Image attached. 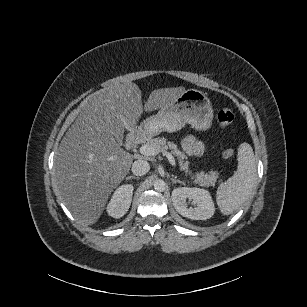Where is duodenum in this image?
Here are the masks:
<instances>
[{
	"instance_id": "duodenum-1",
	"label": "duodenum",
	"mask_w": 307,
	"mask_h": 307,
	"mask_svg": "<svg viewBox=\"0 0 307 307\" xmlns=\"http://www.w3.org/2000/svg\"><path fill=\"white\" fill-rule=\"evenodd\" d=\"M147 139V133L142 129H136L131 132L126 141L127 148H132L133 146L144 142Z\"/></svg>"
}]
</instances>
